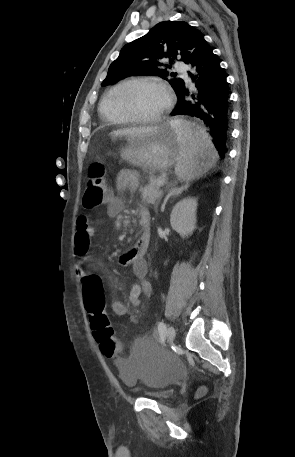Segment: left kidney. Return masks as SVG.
<instances>
[{
  "label": "left kidney",
  "instance_id": "obj_1",
  "mask_svg": "<svg viewBox=\"0 0 295 457\" xmlns=\"http://www.w3.org/2000/svg\"><path fill=\"white\" fill-rule=\"evenodd\" d=\"M197 205V200L195 198H185L179 201L171 212V227L179 233L182 238L188 237L196 229Z\"/></svg>",
  "mask_w": 295,
  "mask_h": 457
}]
</instances>
